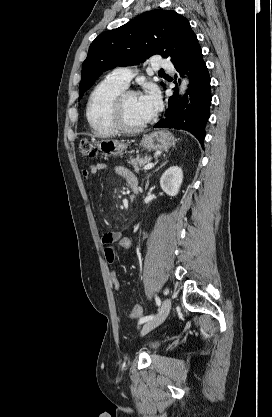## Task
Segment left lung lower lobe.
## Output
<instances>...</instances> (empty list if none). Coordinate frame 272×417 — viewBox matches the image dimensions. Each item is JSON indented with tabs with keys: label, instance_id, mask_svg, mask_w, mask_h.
<instances>
[{
	"label": "left lung lower lobe",
	"instance_id": "left-lung-lower-lobe-1",
	"mask_svg": "<svg viewBox=\"0 0 272 417\" xmlns=\"http://www.w3.org/2000/svg\"><path fill=\"white\" fill-rule=\"evenodd\" d=\"M180 76H189V88L182 101L169 98L165 118L154 125L155 128L183 129L191 132L203 146L205 125L210 116L211 104L210 76L202 58L200 46L181 61L174 64ZM177 94L178 89L174 88Z\"/></svg>",
	"mask_w": 272,
	"mask_h": 417
}]
</instances>
